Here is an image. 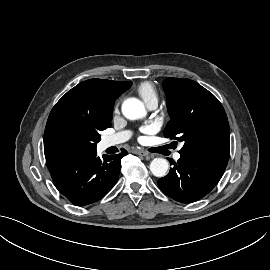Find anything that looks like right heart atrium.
Instances as JSON below:
<instances>
[{
    "mask_svg": "<svg viewBox=\"0 0 270 270\" xmlns=\"http://www.w3.org/2000/svg\"><path fill=\"white\" fill-rule=\"evenodd\" d=\"M115 110H118V105L116 106Z\"/></svg>",
    "mask_w": 270,
    "mask_h": 270,
    "instance_id": "d8ad5b80",
    "label": "right heart atrium"
}]
</instances>
